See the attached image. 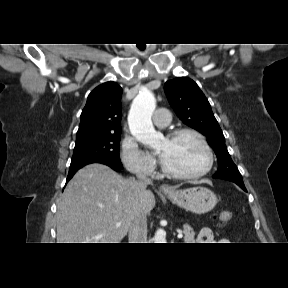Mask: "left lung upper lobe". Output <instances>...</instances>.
<instances>
[{
  "mask_svg": "<svg viewBox=\"0 0 288 288\" xmlns=\"http://www.w3.org/2000/svg\"><path fill=\"white\" fill-rule=\"evenodd\" d=\"M164 90L177 116L185 124L204 134L214 149L219 167L213 177L243 184L242 176L228 153L224 135L211 106L198 85L192 79L178 77L167 81Z\"/></svg>",
  "mask_w": 288,
  "mask_h": 288,
  "instance_id": "5c2ea615",
  "label": "left lung upper lobe"
}]
</instances>
